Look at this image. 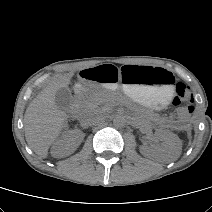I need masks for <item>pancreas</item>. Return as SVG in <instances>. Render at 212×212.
<instances>
[{
    "instance_id": "cf45deb5",
    "label": "pancreas",
    "mask_w": 212,
    "mask_h": 212,
    "mask_svg": "<svg viewBox=\"0 0 212 212\" xmlns=\"http://www.w3.org/2000/svg\"><path fill=\"white\" fill-rule=\"evenodd\" d=\"M80 106L83 110L95 108L104 104L103 109H108L117 104L113 97H104L99 93L93 92L79 99Z\"/></svg>"
}]
</instances>
